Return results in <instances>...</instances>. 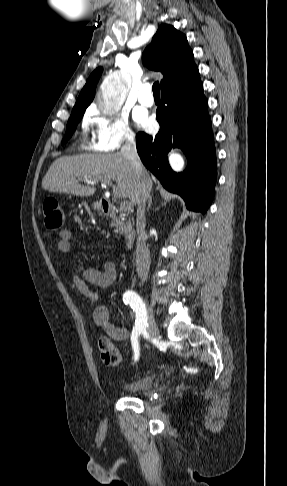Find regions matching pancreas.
<instances>
[{
  "instance_id": "cf45deb5",
  "label": "pancreas",
  "mask_w": 287,
  "mask_h": 486,
  "mask_svg": "<svg viewBox=\"0 0 287 486\" xmlns=\"http://www.w3.org/2000/svg\"><path fill=\"white\" fill-rule=\"evenodd\" d=\"M123 213V212H122ZM125 216V215H124ZM125 219L123 218L122 220H119V221H116L114 223V227H115V230L120 233V234H123L126 227L127 228H130L132 227V224H131V221L129 220L128 222H126V225L124 223Z\"/></svg>"
}]
</instances>
